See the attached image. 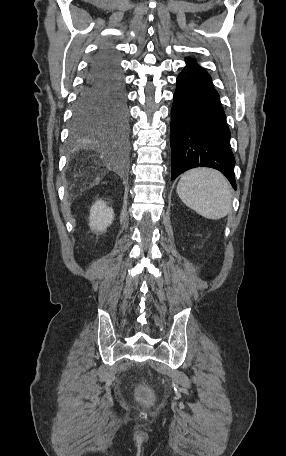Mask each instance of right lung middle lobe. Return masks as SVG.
<instances>
[{"label":"right lung middle lobe","instance_id":"dd1d6c3e","mask_svg":"<svg viewBox=\"0 0 286 456\" xmlns=\"http://www.w3.org/2000/svg\"><path fill=\"white\" fill-rule=\"evenodd\" d=\"M114 130L118 133L121 134V138L122 140H126L127 139V136H128V132H129V129H128V126L126 124H117V125H114L112 127H108V126H103V125H97V124H92L90 125L89 127L85 128V129H82L79 131V133H86V132H102V131H107V130ZM125 132L126 134L123 135L122 133Z\"/></svg>","mask_w":286,"mask_h":456}]
</instances>
